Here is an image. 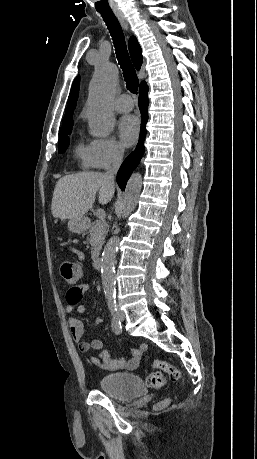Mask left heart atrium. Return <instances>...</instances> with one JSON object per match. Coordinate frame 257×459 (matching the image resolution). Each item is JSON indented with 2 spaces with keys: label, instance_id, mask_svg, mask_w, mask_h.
Segmentation results:
<instances>
[{
  "label": "left heart atrium",
  "instance_id": "obj_1",
  "mask_svg": "<svg viewBox=\"0 0 257 459\" xmlns=\"http://www.w3.org/2000/svg\"><path fill=\"white\" fill-rule=\"evenodd\" d=\"M118 129L122 143L130 146L136 141L139 135V119L134 115H125L119 120Z\"/></svg>",
  "mask_w": 257,
  "mask_h": 459
}]
</instances>
